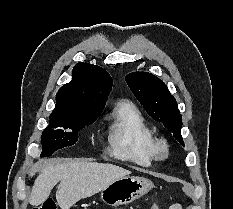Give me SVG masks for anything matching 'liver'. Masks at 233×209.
Segmentation results:
<instances>
[{
  "label": "liver",
  "instance_id": "6515ba94",
  "mask_svg": "<svg viewBox=\"0 0 233 209\" xmlns=\"http://www.w3.org/2000/svg\"><path fill=\"white\" fill-rule=\"evenodd\" d=\"M131 172L117 165L97 162L68 161L49 164L36 178L29 198L33 206L42 204L58 183L56 200L61 209L102 191L115 180Z\"/></svg>",
  "mask_w": 233,
  "mask_h": 209
}]
</instances>
